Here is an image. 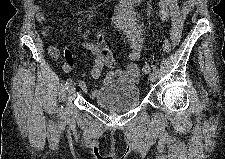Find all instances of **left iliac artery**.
I'll list each match as a JSON object with an SVG mask.
<instances>
[{"label": "left iliac artery", "instance_id": "left-iliac-artery-1", "mask_svg": "<svg viewBox=\"0 0 225 159\" xmlns=\"http://www.w3.org/2000/svg\"><path fill=\"white\" fill-rule=\"evenodd\" d=\"M153 70L156 71L157 73H158V71H159L158 67H154Z\"/></svg>", "mask_w": 225, "mask_h": 159}]
</instances>
